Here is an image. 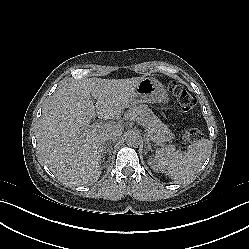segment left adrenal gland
Segmentation results:
<instances>
[{"instance_id": "obj_1", "label": "left adrenal gland", "mask_w": 249, "mask_h": 249, "mask_svg": "<svg viewBox=\"0 0 249 249\" xmlns=\"http://www.w3.org/2000/svg\"><path fill=\"white\" fill-rule=\"evenodd\" d=\"M147 143H148V149H150V143H149V141L147 140Z\"/></svg>"}]
</instances>
